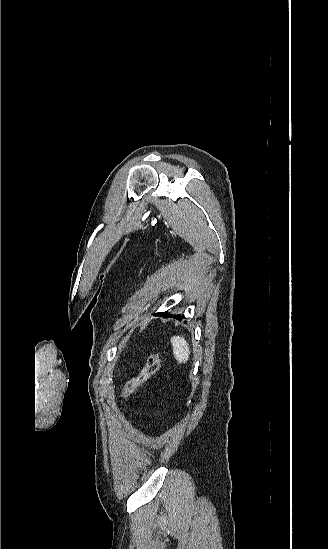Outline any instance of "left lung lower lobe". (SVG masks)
Wrapping results in <instances>:
<instances>
[{"instance_id":"left-lung-lower-lobe-1","label":"left lung lower lobe","mask_w":328,"mask_h":549,"mask_svg":"<svg viewBox=\"0 0 328 549\" xmlns=\"http://www.w3.org/2000/svg\"><path fill=\"white\" fill-rule=\"evenodd\" d=\"M156 315H165L166 317H174V318H176V319H181V318L184 317V316H180V315L168 314V313H166V312L156 313Z\"/></svg>"}]
</instances>
